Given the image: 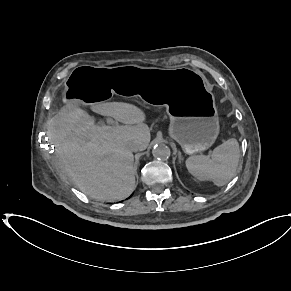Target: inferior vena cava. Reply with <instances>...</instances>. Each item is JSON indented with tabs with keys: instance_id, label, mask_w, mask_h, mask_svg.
I'll use <instances>...</instances> for the list:
<instances>
[{
	"instance_id": "obj_1",
	"label": "inferior vena cava",
	"mask_w": 291,
	"mask_h": 291,
	"mask_svg": "<svg viewBox=\"0 0 291 291\" xmlns=\"http://www.w3.org/2000/svg\"><path fill=\"white\" fill-rule=\"evenodd\" d=\"M128 149L131 152H137L139 150V147L136 144H130Z\"/></svg>"
}]
</instances>
